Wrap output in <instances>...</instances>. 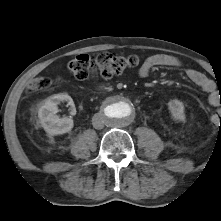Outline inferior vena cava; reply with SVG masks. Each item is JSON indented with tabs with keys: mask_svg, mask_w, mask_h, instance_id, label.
Here are the masks:
<instances>
[{
	"mask_svg": "<svg viewBox=\"0 0 221 221\" xmlns=\"http://www.w3.org/2000/svg\"><path fill=\"white\" fill-rule=\"evenodd\" d=\"M105 124V117L101 114H95L92 118V125L95 129H103Z\"/></svg>",
	"mask_w": 221,
	"mask_h": 221,
	"instance_id": "inferior-vena-cava-1",
	"label": "inferior vena cava"
}]
</instances>
